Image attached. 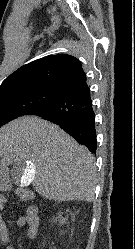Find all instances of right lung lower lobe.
Here are the masks:
<instances>
[{
	"mask_svg": "<svg viewBox=\"0 0 135 249\" xmlns=\"http://www.w3.org/2000/svg\"><path fill=\"white\" fill-rule=\"evenodd\" d=\"M28 115L58 124L93 154L96 153L95 114L88 85L66 90Z\"/></svg>",
	"mask_w": 135,
	"mask_h": 249,
	"instance_id": "right-lung-lower-lobe-1",
	"label": "right lung lower lobe"
}]
</instances>
